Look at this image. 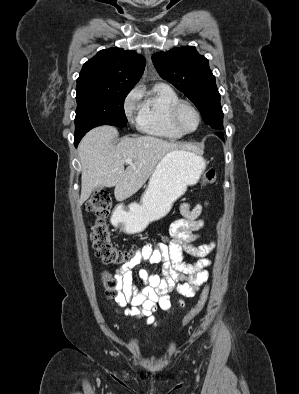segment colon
Here are the masks:
<instances>
[{
  "label": "colon",
  "mask_w": 299,
  "mask_h": 394,
  "mask_svg": "<svg viewBox=\"0 0 299 394\" xmlns=\"http://www.w3.org/2000/svg\"><path fill=\"white\" fill-rule=\"evenodd\" d=\"M216 178V172L213 169H208L203 175L202 184H214ZM85 208L96 217L92 225L91 233L96 256L100 258L103 263L109 265H122L131 261L137 252L118 248L111 240V233L106 221L112 208V198L110 194L105 190L95 192L86 203ZM102 285L106 294L112 296L117 291L118 281L115 276L105 273L102 278ZM208 293L209 288L205 287L200 294L198 302L185 317L184 324L189 323L203 310L208 298Z\"/></svg>",
  "instance_id": "5ec220e1"
}]
</instances>
